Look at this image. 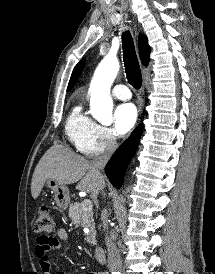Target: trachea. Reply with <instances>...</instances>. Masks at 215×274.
Listing matches in <instances>:
<instances>
[{
    "mask_svg": "<svg viewBox=\"0 0 215 274\" xmlns=\"http://www.w3.org/2000/svg\"><path fill=\"white\" fill-rule=\"evenodd\" d=\"M122 45L123 60L128 82L134 88L139 89L142 84V75L136 56L133 38L129 31H126L122 34Z\"/></svg>",
    "mask_w": 215,
    "mask_h": 274,
    "instance_id": "trachea-1",
    "label": "trachea"
}]
</instances>
